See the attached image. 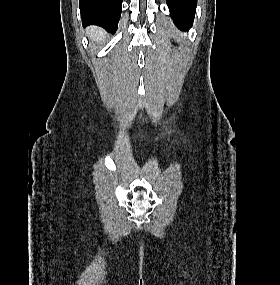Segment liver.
I'll return each mask as SVG.
<instances>
[{
  "label": "liver",
  "instance_id": "6515ba94",
  "mask_svg": "<svg viewBox=\"0 0 280 285\" xmlns=\"http://www.w3.org/2000/svg\"><path fill=\"white\" fill-rule=\"evenodd\" d=\"M87 34L89 35L90 39H93L96 42H100L106 37L104 30L99 27H90Z\"/></svg>",
  "mask_w": 280,
  "mask_h": 285
}]
</instances>
